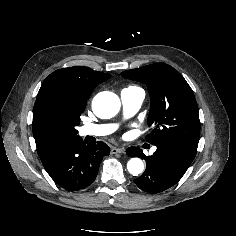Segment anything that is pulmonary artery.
<instances>
[{"label":"pulmonary artery","instance_id":"obj_1","mask_svg":"<svg viewBox=\"0 0 236 236\" xmlns=\"http://www.w3.org/2000/svg\"><path fill=\"white\" fill-rule=\"evenodd\" d=\"M145 97V92L141 88L123 89L121 91V101L126 117L134 115L141 107ZM114 124H85L79 128L81 136H104L114 132ZM155 151V148L152 150Z\"/></svg>","mask_w":236,"mask_h":236}]
</instances>
